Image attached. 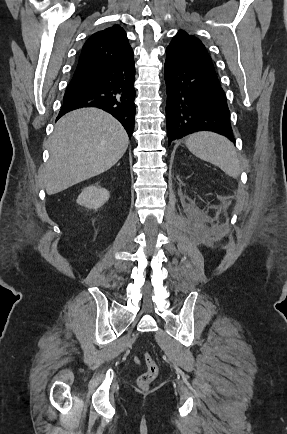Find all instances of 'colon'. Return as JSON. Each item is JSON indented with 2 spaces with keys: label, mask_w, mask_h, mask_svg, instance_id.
Wrapping results in <instances>:
<instances>
[{
  "label": "colon",
  "mask_w": 287,
  "mask_h": 434,
  "mask_svg": "<svg viewBox=\"0 0 287 434\" xmlns=\"http://www.w3.org/2000/svg\"><path fill=\"white\" fill-rule=\"evenodd\" d=\"M144 361L146 364V371L137 379V384L141 389H147L156 379L159 372L158 365L150 354L146 353L144 355Z\"/></svg>",
  "instance_id": "colon-1"
}]
</instances>
